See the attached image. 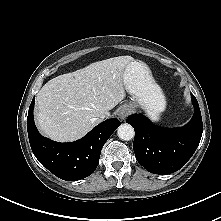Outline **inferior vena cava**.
<instances>
[{"instance_id":"inferior-vena-cava-1","label":"inferior vena cava","mask_w":221,"mask_h":221,"mask_svg":"<svg viewBox=\"0 0 221 221\" xmlns=\"http://www.w3.org/2000/svg\"><path fill=\"white\" fill-rule=\"evenodd\" d=\"M105 117H106V116H105L104 114H102V115L98 118V120H99V121H103V120L105 119Z\"/></svg>"}]
</instances>
